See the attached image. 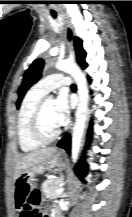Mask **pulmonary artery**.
<instances>
[{
  "mask_svg": "<svg viewBox=\"0 0 132 217\" xmlns=\"http://www.w3.org/2000/svg\"><path fill=\"white\" fill-rule=\"evenodd\" d=\"M70 79L62 74H52L41 79L35 86L38 87L44 93H48L53 89H56L63 85H68Z\"/></svg>",
  "mask_w": 132,
  "mask_h": 217,
  "instance_id": "1",
  "label": "pulmonary artery"
}]
</instances>
